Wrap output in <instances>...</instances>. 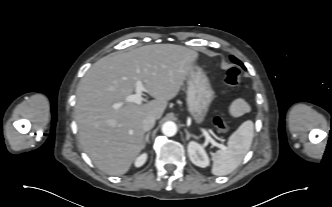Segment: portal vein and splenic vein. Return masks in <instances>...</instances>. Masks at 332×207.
<instances>
[{
  "instance_id": "18ae733b",
  "label": "portal vein and splenic vein",
  "mask_w": 332,
  "mask_h": 207,
  "mask_svg": "<svg viewBox=\"0 0 332 207\" xmlns=\"http://www.w3.org/2000/svg\"><path fill=\"white\" fill-rule=\"evenodd\" d=\"M146 92V88L144 87L143 83L141 81H137L136 82V88H135V93L131 94L129 96L126 97V101L127 102H133L136 103L138 105L142 104V93ZM121 106V104H115L114 108H119ZM203 134L205 135L207 141H210L214 146H217L221 149H224L225 146L223 144H218L217 142H215L209 135V133L202 129Z\"/></svg>"
}]
</instances>
